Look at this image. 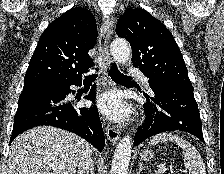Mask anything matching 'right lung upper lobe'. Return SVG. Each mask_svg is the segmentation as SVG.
Returning <instances> with one entry per match:
<instances>
[{"label":"right lung upper lobe","instance_id":"1","mask_svg":"<svg viewBox=\"0 0 224 174\" xmlns=\"http://www.w3.org/2000/svg\"><path fill=\"white\" fill-rule=\"evenodd\" d=\"M97 39L95 18L86 8H72L41 35L24 77V87L81 77L92 65L88 51Z\"/></svg>","mask_w":224,"mask_h":174}]
</instances>
